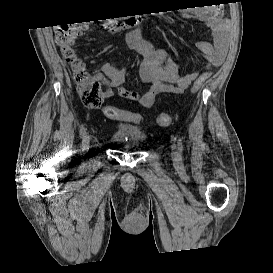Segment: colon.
<instances>
[{
  "label": "colon",
  "mask_w": 273,
  "mask_h": 273,
  "mask_svg": "<svg viewBox=\"0 0 273 273\" xmlns=\"http://www.w3.org/2000/svg\"><path fill=\"white\" fill-rule=\"evenodd\" d=\"M90 21L81 20L61 26L56 32V43L58 48L71 68L72 79L77 87L82 103L89 108H98L103 102V89L98 80L93 78L85 68L84 62L78 57L75 51L76 39L87 29ZM208 73L198 77L193 85L192 91H198L208 78ZM104 115L112 120H122L125 116L129 121L140 122L141 116L130 112L125 114L114 106H106L103 109ZM172 117L168 112H162L157 117V123L167 126L171 123Z\"/></svg>",
  "instance_id": "5ec220e1"
}]
</instances>
